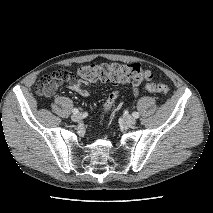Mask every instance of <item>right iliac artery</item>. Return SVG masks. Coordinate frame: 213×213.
Listing matches in <instances>:
<instances>
[{"label": "right iliac artery", "instance_id": "obj_1", "mask_svg": "<svg viewBox=\"0 0 213 213\" xmlns=\"http://www.w3.org/2000/svg\"><path fill=\"white\" fill-rule=\"evenodd\" d=\"M72 112H73L74 114H77V113L79 112V110H78L77 108H74V109L72 110Z\"/></svg>", "mask_w": 213, "mask_h": 213}]
</instances>
